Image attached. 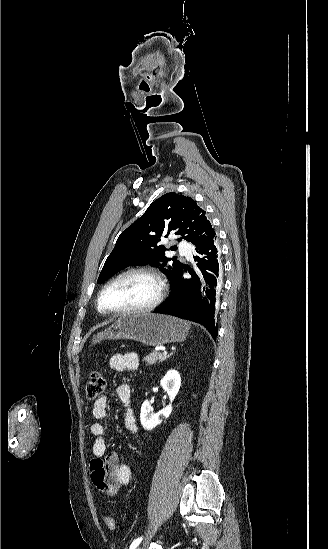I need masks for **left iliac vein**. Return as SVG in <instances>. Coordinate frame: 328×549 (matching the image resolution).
Listing matches in <instances>:
<instances>
[{"label": "left iliac vein", "mask_w": 328, "mask_h": 549, "mask_svg": "<svg viewBox=\"0 0 328 549\" xmlns=\"http://www.w3.org/2000/svg\"><path fill=\"white\" fill-rule=\"evenodd\" d=\"M136 549H141L140 547H137Z\"/></svg>", "instance_id": "obj_1"}]
</instances>
